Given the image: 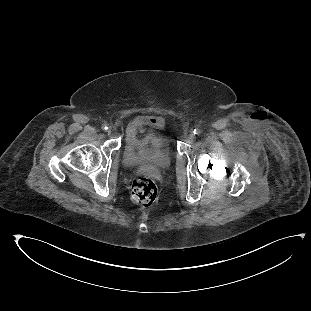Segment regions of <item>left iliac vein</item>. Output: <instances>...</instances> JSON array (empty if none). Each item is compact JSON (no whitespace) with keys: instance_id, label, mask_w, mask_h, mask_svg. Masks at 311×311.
Returning <instances> with one entry per match:
<instances>
[{"instance_id":"left-iliac-vein-1","label":"left iliac vein","mask_w":311,"mask_h":311,"mask_svg":"<svg viewBox=\"0 0 311 311\" xmlns=\"http://www.w3.org/2000/svg\"><path fill=\"white\" fill-rule=\"evenodd\" d=\"M188 138H189L190 140H193V139L195 138V134H194L193 132H191V133L189 134Z\"/></svg>"}]
</instances>
